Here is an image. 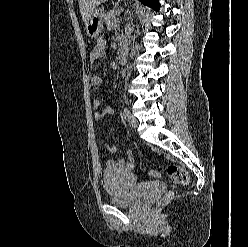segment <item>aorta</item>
<instances>
[{"mask_svg": "<svg viewBox=\"0 0 248 247\" xmlns=\"http://www.w3.org/2000/svg\"><path fill=\"white\" fill-rule=\"evenodd\" d=\"M140 9H141V5H137L136 12L139 13Z\"/></svg>", "mask_w": 248, "mask_h": 247, "instance_id": "762f6f07", "label": "aorta"}]
</instances>
